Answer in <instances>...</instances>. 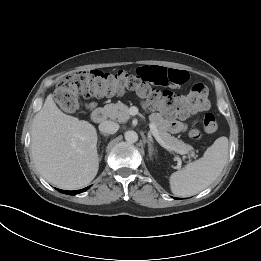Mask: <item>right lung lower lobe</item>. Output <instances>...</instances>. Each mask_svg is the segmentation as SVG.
<instances>
[{"label": "right lung lower lobe", "instance_id": "right-lung-lower-lobe-1", "mask_svg": "<svg viewBox=\"0 0 261 261\" xmlns=\"http://www.w3.org/2000/svg\"><path fill=\"white\" fill-rule=\"evenodd\" d=\"M88 188H89V187H86V188H84V189L76 190V191H65V190H60V189H57V190H58L59 192H61V193H64V194L75 195V194L84 192V191L87 190Z\"/></svg>", "mask_w": 261, "mask_h": 261}]
</instances>
